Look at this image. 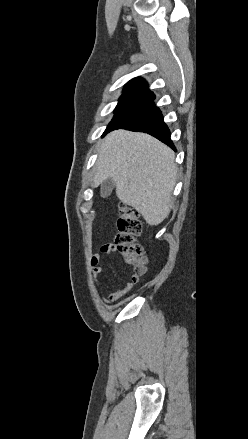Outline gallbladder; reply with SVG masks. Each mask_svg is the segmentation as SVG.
I'll use <instances>...</instances> for the list:
<instances>
[{
  "label": "gallbladder",
  "mask_w": 248,
  "mask_h": 439,
  "mask_svg": "<svg viewBox=\"0 0 248 439\" xmlns=\"http://www.w3.org/2000/svg\"><path fill=\"white\" fill-rule=\"evenodd\" d=\"M114 186L115 183L111 178L104 180L101 184V196L104 198L108 197L111 194Z\"/></svg>",
  "instance_id": "obj_1"
}]
</instances>
